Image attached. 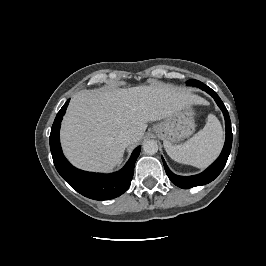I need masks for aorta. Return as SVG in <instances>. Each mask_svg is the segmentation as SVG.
<instances>
[{"instance_id":"762f6f07","label":"aorta","mask_w":266,"mask_h":266,"mask_svg":"<svg viewBox=\"0 0 266 266\" xmlns=\"http://www.w3.org/2000/svg\"><path fill=\"white\" fill-rule=\"evenodd\" d=\"M143 151L145 154L154 155L158 151V144L155 140H147L143 144Z\"/></svg>"}]
</instances>
